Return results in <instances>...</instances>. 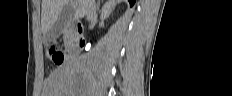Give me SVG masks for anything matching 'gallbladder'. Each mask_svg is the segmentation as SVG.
Listing matches in <instances>:
<instances>
[{
  "label": "gallbladder",
  "mask_w": 232,
  "mask_h": 96,
  "mask_svg": "<svg viewBox=\"0 0 232 96\" xmlns=\"http://www.w3.org/2000/svg\"><path fill=\"white\" fill-rule=\"evenodd\" d=\"M71 14H72V7L66 5L60 12L56 22L53 24L51 29L44 34L43 42L45 44L50 43L51 41L55 40L62 34L69 21Z\"/></svg>",
  "instance_id": "bac80fb5"
}]
</instances>
